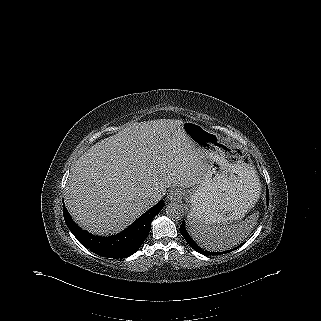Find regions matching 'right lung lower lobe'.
Listing matches in <instances>:
<instances>
[{"mask_svg":"<svg viewBox=\"0 0 321 321\" xmlns=\"http://www.w3.org/2000/svg\"><path fill=\"white\" fill-rule=\"evenodd\" d=\"M163 207L164 201L158 202L124 231L110 237L95 236L82 230L72 220L64 205L63 215L68 228L84 247L103 257L126 258L140 248L150 232L152 219Z\"/></svg>","mask_w":321,"mask_h":321,"instance_id":"obj_1","label":"right lung lower lobe"}]
</instances>
